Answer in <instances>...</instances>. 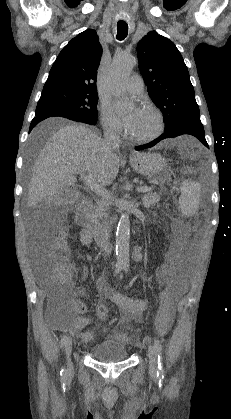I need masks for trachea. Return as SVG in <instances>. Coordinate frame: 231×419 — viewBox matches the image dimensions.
Listing matches in <instances>:
<instances>
[{"instance_id": "3493384b", "label": "trachea", "mask_w": 231, "mask_h": 419, "mask_svg": "<svg viewBox=\"0 0 231 419\" xmlns=\"http://www.w3.org/2000/svg\"><path fill=\"white\" fill-rule=\"evenodd\" d=\"M128 34V25L126 22L119 21L117 23V35L116 38L118 40H124Z\"/></svg>"}]
</instances>
